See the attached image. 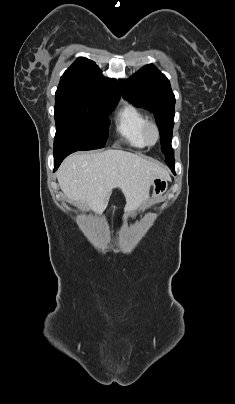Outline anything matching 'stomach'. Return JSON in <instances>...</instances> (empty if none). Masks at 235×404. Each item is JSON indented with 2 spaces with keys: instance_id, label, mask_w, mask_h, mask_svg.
<instances>
[{
  "instance_id": "0dacf381",
  "label": "stomach",
  "mask_w": 235,
  "mask_h": 404,
  "mask_svg": "<svg viewBox=\"0 0 235 404\" xmlns=\"http://www.w3.org/2000/svg\"><path fill=\"white\" fill-rule=\"evenodd\" d=\"M152 186H153L152 200L157 201L160 200L166 193L168 188V182L166 179L155 178L152 182ZM131 214L132 212L125 214L124 220H126Z\"/></svg>"
}]
</instances>
